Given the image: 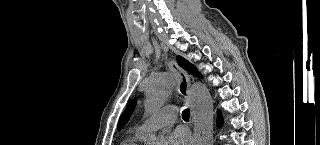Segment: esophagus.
Segmentation results:
<instances>
[{"mask_svg": "<svg viewBox=\"0 0 320 145\" xmlns=\"http://www.w3.org/2000/svg\"><path fill=\"white\" fill-rule=\"evenodd\" d=\"M171 70L178 76L179 83H178V90L181 95L185 98H188L190 92V85L191 80L189 75L182 70L174 60L169 62Z\"/></svg>", "mask_w": 320, "mask_h": 145, "instance_id": "obj_1", "label": "esophagus"}]
</instances>
